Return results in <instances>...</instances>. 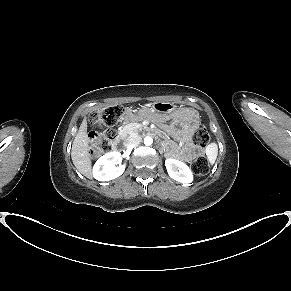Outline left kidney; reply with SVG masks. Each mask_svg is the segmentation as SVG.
Listing matches in <instances>:
<instances>
[{
    "instance_id": "obj_1",
    "label": "left kidney",
    "mask_w": 291,
    "mask_h": 291,
    "mask_svg": "<svg viewBox=\"0 0 291 291\" xmlns=\"http://www.w3.org/2000/svg\"><path fill=\"white\" fill-rule=\"evenodd\" d=\"M165 166L169 176L180 183H191L193 174L191 169L183 162L168 158L165 160Z\"/></svg>"
}]
</instances>
